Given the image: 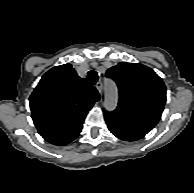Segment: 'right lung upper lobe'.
<instances>
[{
  "label": "right lung upper lobe",
  "instance_id": "1",
  "mask_svg": "<svg viewBox=\"0 0 194 193\" xmlns=\"http://www.w3.org/2000/svg\"><path fill=\"white\" fill-rule=\"evenodd\" d=\"M99 99L98 91L81 79L70 64H64L43 75L29 101L34 124L49 141L80 127Z\"/></svg>",
  "mask_w": 194,
  "mask_h": 193
}]
</instances>
